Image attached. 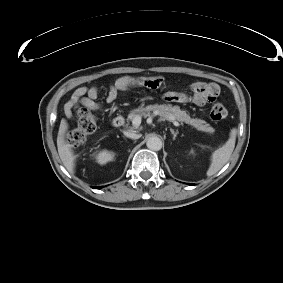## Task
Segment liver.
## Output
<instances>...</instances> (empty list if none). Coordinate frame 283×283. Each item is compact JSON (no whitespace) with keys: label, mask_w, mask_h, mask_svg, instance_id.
<instances>
[{"label":"liver","mask_w":283,"mask_h":283,"mask_svg":"<svg viewBox=\"0 0 283 283\" xmlns=\"http://www.w3.org/2000/svg\"><path fill=\"white\" fill-rule=\"evenodd\" d=\"M67 130H68V123L65 119H62L58 131L57 147H58L59 157L63 165L69 172L73 173L76 156L73 153L72 145L69 144L66 140Z\"/></svg>","instance_id":"obj_1"}]
</instances>
